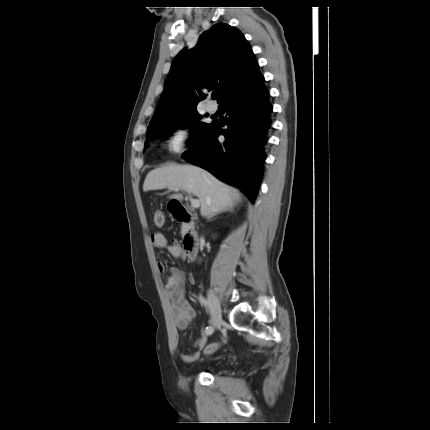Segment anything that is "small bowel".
<instances>
[{
  "label": "small bowel",
  "instance_id": "small-bowel-1",
  "mask_svg": "<svg viewBox=\"0 0 430 430\" xmlns=\"http://www.w3.org/2000/svg\"><path fill=\"white\" fill-rule=\"evenodd\" d=\"M151 242L155 247L166 250L176 259L185 256V252L178 242L175 240L171 243L168 242L167 238L161 232L152 233ZM157 266L160 271L164 269V265L160 261L157 263ZM194 282L195 279L192 273H184L177 267L169 268V276L166 280L165 288L172 307L174 324L179 329L187 328L196 315L194 307L185 295V284L192 285ZM207 337L206 329L202 330L194 342V350L188 354L181 355L182 360L185 362L196 361L200 357L201 352H205L207 348Z\"/></svg>",
  "mask_w": 430,
  "mask_h": 430
}]
</instances>
